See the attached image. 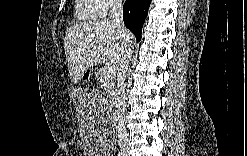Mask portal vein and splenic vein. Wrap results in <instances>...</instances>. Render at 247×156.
I'll return each mask as SVG.
<instances>
[{
    "label": "portal vein and splenic vein",
    "instance_id": "obj_1",
    "mask_svg": "<svg viewBox=\"0 0 247 156\" xmlns=\"http://www.w3.org/2000/svg\"><path fill=\"white\" fill-rule=\"evenodd\" d=\"M118 67L115 64H109L106 66L105 71L109 74H115Z\"/></svg>",
    "mask_w": 247,
    "mask_h": 156
}]
</instances>
